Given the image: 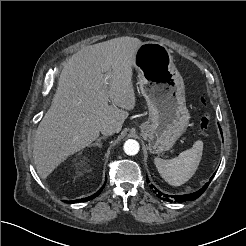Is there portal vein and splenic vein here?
Here are the masks:
<instances>
[{"label": "portal vein and splenic vein", "mask_w": 246, "mask_h": 246, "mask_svg": "<svg viewBox=\"0 0 246 246\" xmlns=\"http://www.w3.org/2000/svg\"><path fill=\"white\" fill-rule=\"evenodd\" d=\"M106 77H107V78L110 77V73H107V74H106Z\"/></svg>", "instance_id": "obj_1"}]
</instances>
